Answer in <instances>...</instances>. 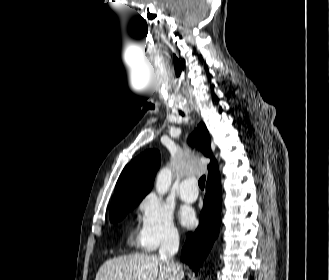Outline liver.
I'll use <instances>...</instances> for the list:
<instances>
[{
	"label": "liver",
	"instance_id": "obj_1",
	"mask_svg": "<svg viewBox=\"0 0 329 280\" xmlns=\"http://www.w3.org/2000/svg\"><path fill=\"white\" fill-rule=\"evenodd\" d=\"M183 270L172 269L159 256L132 254L105 261L95 280H182Z\"/></svg>",
	"mask_w": 329,
	"mask_h": 280
}]
</instances>
